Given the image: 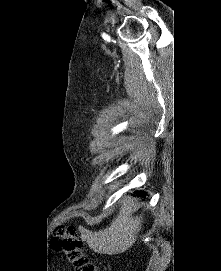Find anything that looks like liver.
Here are the masks:
<instances>
[{"label": "liver", "instance_id": "1", "mask_svg": "<svg viewBox=\"0 0 221 271\" xmlns=\"http://www.w3.org/2000/svg\"><path fill=\"white\" fill-rule=\"evenodd\" d=\"M130 197L120 201L119 211L109 225L99 231L81 229L82 241H87L90 249L98 253H123L136 241V233L141 229V215H132Z\"/></svg>", "mask_w": 221, "mask_h": 271}]
</instances>
